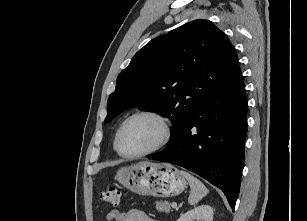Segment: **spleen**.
<instances>
[{
    "instance_id": "3e777b00",
    "label": "spleen",
    "mask_w": 307,
    "mask_h": 221,
    "mask_svg": "<svg viewBox=\"0 0 307 221\" xmlns=\"http://www.w3.org/2000/svg\"><path fill=\"white\" fill-rule=\"evenodd\" d=\"M182 175L188 180L191 192L188 198L190 205L197 204L203 197L208 194V189L205 185L196 177L192 176L186 171H181Z\"/></svg>"
}]
</instances>
